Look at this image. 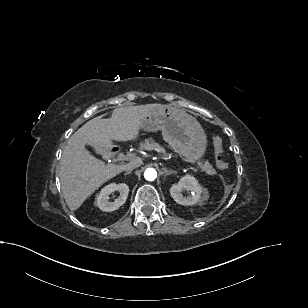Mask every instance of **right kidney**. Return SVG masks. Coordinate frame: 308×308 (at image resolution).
<instances>
[{
	"instance_id": "ca27d5eb",
	"label": "right kidney",
	"mask_w": 308,
	"mask_h": 308,
	"mask_svg": "<svg viewBox=\"0 0 308 308\" xmlns=\"http://www.w3.org/2000/svg\"><path fill=\"white\" fill-rule=\"evenodd\" d=\"M115 191H119L120 196L114 202L108 201L109 195ZM129 187L125 183H111L105 186L96 198V204L102 211L112 212L122 206L128 196Z\"/></svg>"
}]
</instances>
